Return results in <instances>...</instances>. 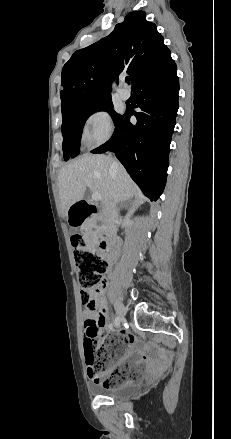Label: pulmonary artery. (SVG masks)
<instances>
[{
    "instance_id": "obj_1",
    "label": "pulmonary artery",
    "mask_w": 231,
    "mask_h": 439,
    "mask_svg": "<svg viewBox=\"0 0 231 439\" xmlns=\"http://www.w3.org/2000/svg\"><path fill=\"white\" fill-rule=\"evenodd\" d=\"M119 96H120L121 99L127 100V99L130 98V91L127 88H122L119 91Z\"/></svg>"
}]
</instances>
